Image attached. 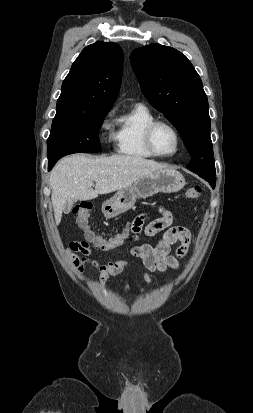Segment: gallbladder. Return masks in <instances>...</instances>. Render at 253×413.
I'll use <instances>...</instances> for the list:
<instances>
[{"label": "gallbladder", "instance_id": "bac80fb5", "mask_svg": "<svg viewBox=\"0 0 253 413\" xmlns=\"http://www.w3.org/2000/svg\"><path fill=\"white\" fill-rule=\"evenodd\" d=\"M73 204H74V203H72V204L69 206L68 210H66L65 213H68V212L70 211V209L72 208Z\"/></svg>", "mask_w": 253, "mask_h": 413}]
</instances>
